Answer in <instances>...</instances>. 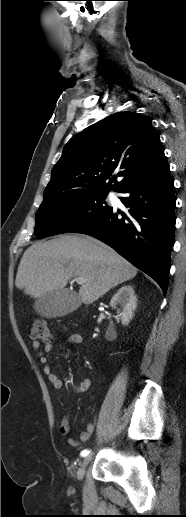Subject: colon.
Returning <instances> with one entry per match:
<instances>
[{
	"label": "colon",
	"mask_w": 186,
	"mask_h": 517,
	"mask_svg": "<svg viewBox=\"0 0 186 517\" xmlns=\"http://www.w3.org/2000/svg\"><path fill=\"white\" fill-rule=\"evenodd\" d=\"M31 337L42 342H50L52 340L51 330L44 320H34L31 329Z\"/></svg>",
	"instance_id": "5ec220e1"
}]
</instances>
